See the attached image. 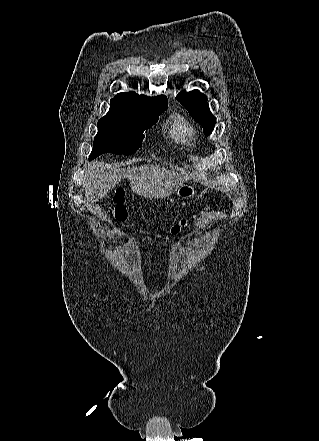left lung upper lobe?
Here are the masks:
<instances>
[{
    "label": "left lung upper lobe",
    "mask_w": 319,
    "mask_h": 441,
    "mask_svg": "<svg viewBox=\"0 0 319 441\" xmlns=\"http://www.w3.org/2000/svg\"><path fill=\"white\" fill-rule=\"evenodd\" d=\"M176 99L188 110L193 119L203 127L204 133L209 135L214 128L216 118L210 112L207 97L199 90H193L180 92Z\"/></svg>",
    "instance_id": "left-lung-upper-lobe-1"
}]
</instances>
